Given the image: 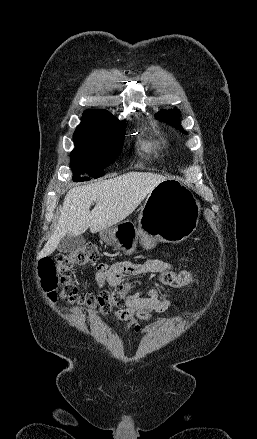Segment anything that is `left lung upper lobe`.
Here are the masks:
<instances>
[{"instance_id": "5c2ea615", "label": "left lung upper lobe", "mask_w": 257, "mask_h": 439, "mask_svg": "<svg viewBox=\"0 0 257 439\" xmlns=\"http://www.w3.org/2000/svg\"><path fill=\"white\" fill-rule=\"evenodd\" d=\"M156 118L160 121L171 124L176 129H180L181 132L187 134V132L182 129V126L180 125V113L178 110H161L158 114H156Z\"/></svg>"}]
</instances>
